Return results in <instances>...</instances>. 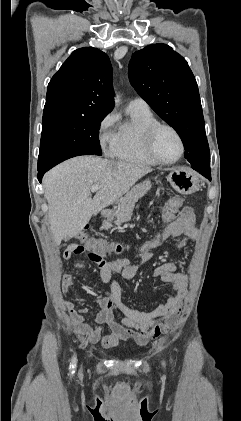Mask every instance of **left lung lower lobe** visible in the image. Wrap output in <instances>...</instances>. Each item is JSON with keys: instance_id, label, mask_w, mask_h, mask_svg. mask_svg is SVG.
Segmentation results:
<instances>
[{"instance_id": "obj_1", "label": "left lung lower lobe", "mask_w": 241, "mask_h": 421, "mask_svg": "<svg viewBox=\"0 0 241 421\" xmlns=\"http://www.w3.org/2000/svg\"><path fill=\"white\" fill-rule=\"evenodd\" d=\"M190 163H191V166H192L193 169L197 170L198 172H200L202 175H204L208 179H211L210 165H204V164H201V163L195 164L194 162H190Z\"/></svg>"}]
</instances>
